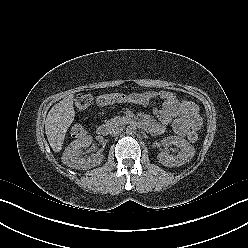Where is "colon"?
Returning a JSON list of instances; mask_svg holds the SVG:
<instances>
[{
	"label": "colon",
	"mask_w": 248,
	"mask_h": 248,
	"mask_svg": "<svg viewBox=\"0 0 248 248\" xmlns=\"http://www.w3.org/2000/svg\"><path fill=\"white\" fill-rule=\"evenodd\" d=\"M126 100V94L122 93H113V94H104L97 97L96 102L100 106H104L111 103H120ZM92 103V97L88 94L79 95L75 99V106L77 111H85ZM86 133L85 128L82 125L75 124L71 127L69 135L73 138H80ZM189 141L195 142L198 139V134L196 131L192 132L189 137Z\"/></svg>",
	"instance_id": "1"
}]
</instances>
